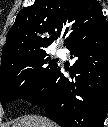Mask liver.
<instances>
[{
    "instance_id": "1",
    "label": "liver",
    "mask_w": 108,
    "mask_h": 127,
    "mask_svg": "<svg viewBox=\"0 0 108 127\" xmlns=\"http://www.w3.org/2000/svg\"><path fill=\"white\" fill-rule=\"evenodd\" d=\"M13 127H58V125L48 118L29 115L19 120Z\"/></svg>"
}]
</instances>
